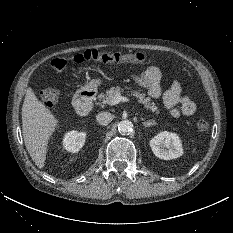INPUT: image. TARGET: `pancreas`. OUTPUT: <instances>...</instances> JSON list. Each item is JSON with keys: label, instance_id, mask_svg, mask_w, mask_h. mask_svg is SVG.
Instances as JSON below:
<instances>
[{"label": "pancreas", "instance_id": "pancreas-1", "mask_svg": "<svg viewBox=\"0 0 233 233\" xmlns=\"http://www.w3.org/2000/svg\"><path fill=\"white\" fill-rule=\"evenodd\" d=\"M125 89L130 90L131 95L138 98V101L144 105L146 109L154 113L155 115L159 114V108L156 104L151 100L150 97H146L144 93H140L139 90H132L131 87H125ZM124 93V89H121L119 86L111 87L106 91V94H100L98 96L99 100L102 104H110L112 98H114L117 94Z\"/></svg>", "mask_w": 233, "mask_h": 233}]
</instances>
